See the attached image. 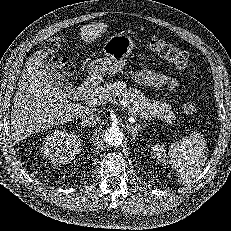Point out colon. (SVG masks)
<instances>
[{
	"label": "colon",
	"mask_w": 231,
	"mask_h": 231,
	"mask_svg": "<svg viewBox=\"0 0 231 231\" xmlns=\"http://www.w3.org/2000/svg\"><path fill=\"white\" fill-rule=\"evenodd\" d=\"M149 49L156 53L157 55L165 58L170 63L178 67H184L189 61V54L186 50L180 49L172 44L161 40L153 39L148 44ZM48 50L51 53L52 62L63 70L65 73L70 74L73 71L72 64L64 57L57 54L58 51V41L53 40L48 44ZM183 110L187 114H195L197 112V107L194 102L187 100L183 104Z\"/></svg>",
	"instance_id": "colon-1"
}]
</instances>
